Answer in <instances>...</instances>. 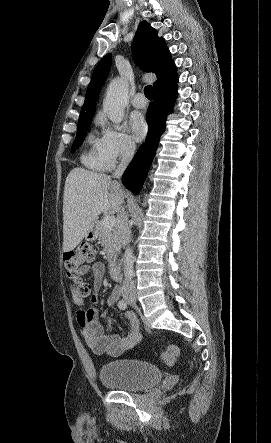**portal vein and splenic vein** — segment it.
<instances>
[{
    "instance_id": "1",
    "label": "portal vein and splenic vein",
    "mask_w": 271,
    "mask_h": 443,
    "mask_svg": "<svg viewBox=\"0 0 271 443\" xmlns=\"http://www.w3.org/2000/svg\"><path fill=\"white\" fill-rule=\"evenodd\" d=\"M102 223L106 229H111L116 223V218L114 216H106V218H103Z\"/></svg>"
}]
</instances>
